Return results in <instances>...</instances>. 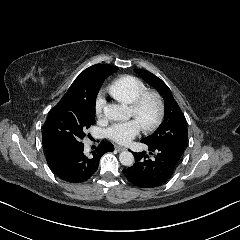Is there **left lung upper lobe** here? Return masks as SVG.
Returning a JSON list of instances; mask_svg holds the SVG:
<instances>
[{
    "label": "left lung upper lobe",
    "mask_w": 240,
    "mask_h": 240,
    "mask_svg": "<svg viewBox=\"0 0 240 240\" xmlns=\"http://www.w3.org/2000/svg\"><path fill=\"white\" fill-rule=\"evenodd\" d=\"M135 72L153 86L165 101L163 123L154 134L142 139L141 142L151 147L167 148L182 155L187 143V124L169 87L159 77L148 71L135 70Z\"/></svg>",
    "instance_id": "obj_1"
}]
</instances>
